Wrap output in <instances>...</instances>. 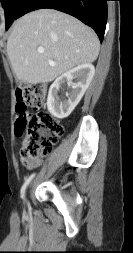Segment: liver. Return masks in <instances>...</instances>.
<instances>
[{
  "instance_id": "obj_1",
  "label": "liver",
  "mask_w": 133,
  "mask_h": 253,
  "mask_svg": "<svg viewBox=\"0 0 133 253\" xmlns=\"http://www.w3.org/2000/svg\"><path fill=\"white\" fill-rule=\"evenodd\" d=\"M39 47L44 53H38ZM99 50V39L90 27L53 9L18 19L7 41L12 70L19 81L28 84L51 82L77 65L92 63Z\"/></svg>"
}]
</instances>
